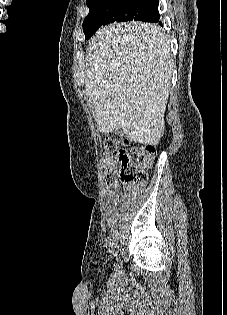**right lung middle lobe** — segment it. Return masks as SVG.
I'll return each instance as SVG.
<instances>
[{
    "label": "right lung middle lobe",
    "mask_w": 227,
    "mask_h": 315,
    "mask_svg": "<svg viewBox=\"0 0 227 315\" xmlns=\"http://www.w3.org/2000/svg\"><path fill=\"white\" fill-rule=\"evenodd\" d=\"M159 0H94L86 1L89 14L83 21L85 38L89 39L101 26L122 21L156 22Z\"/></svg>",
    "instance_id": "dd1d6c3e"
}]
</instances>
